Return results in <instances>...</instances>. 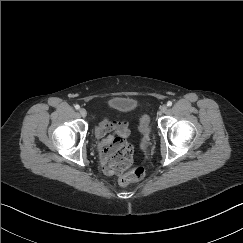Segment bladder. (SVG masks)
I'll return each instance as SVG.
<instances>
[{"label": "bladder", "instance_id": "bladder-1", "mask_svg": "<svg viewBox=\"0 0 243 243\" xmlns=\"http://www.w3.org/2000/svg\"><path fill=\"white\" fill-rule=\"evenodd\" d=\"M114 102L117 104H123V106L115 107V110L121 113H129L133 109V102L129 98L116 97L114 98Z\"/></svg>", "mask_w": 243, "mask_h": 243}]
</instances>
